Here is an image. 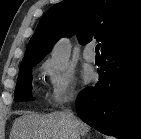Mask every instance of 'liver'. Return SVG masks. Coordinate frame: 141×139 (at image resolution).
Listing matches in <instances>:
<instances>
[{"instance_id": "liver-1", "label": "liver", "mask_w": 141, "mask_h": 139, "mask_svg": "<svg viewBox=\"0 0 141 139\" xmlns=\"http://www.w3.org/2000/svg\"><path fill=\"white\" fill-rule=\"evenodd\" d=\"M76 129L85 135L90 126L75 118ZM74 126L66 112L58 111L47 115L23 113L15 119L10 139H74Z\"/></svg>"}]
</instances>
